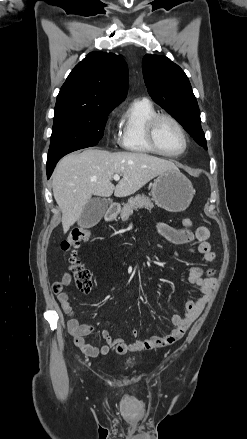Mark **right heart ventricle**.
Listing matches in <instances>:
<instances>
[{
  "mask_svg": "<svg viewBox=\"0 0 247 439\" xmlns=\"http://www.w3.org/2000/svg\"><path fill=\"white\" fill-rule=\"evenodd\" d=\"M157 114L158 111L149 100L134 101L120 119V146L130 152L156 153L147 141L146 128L149 120Z\"/></svg>",
  "mask_w": 247,
  "mask_h": 439,
  "instance_id": "obj_1",
  "label": "right heart ventricle"
}]
</instances>
